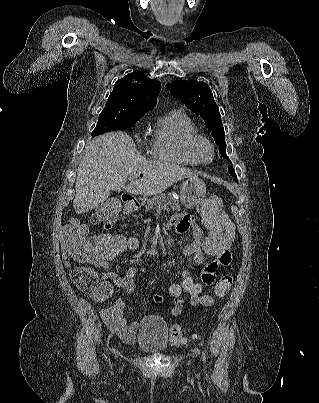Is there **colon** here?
Here are the masks:
<instances>
[{"label":"colon","mask_w":319,"mask_h":403,"mask_svg":"<svg viewBox=\"0 0 319 403\" xmlns=\"http://www.w3.org/2000/svg\"><path fill=\"white\" fill-rule=\"evenodd\" d=\"M222 206L223 200L219 196H211L200 205L202 220L207 226L205 249L202 250L198 266L191 275H181L180 282H169L167 286L169 291H176L175 297L179 300L176 306L179 309L187 308L186 300L203 296V267L215 264L216 258H220L221 251L231 247V243L236 241L234 222L232 218H225ZM104 208L106 210L93 217V222L104 229H97L96 234H88V239L81 224L76 221L63 228L62 245L75 261L125 258L126 254H137L138 240L135 234H122L120 229H110L115 223L117 210L123 208V203L106 201ZM71 279L80 291L91 296L95 285H100L97 275L90 269H74ZM232 282L231 276L221 277L215 285V295L224 297L229 292ZM154 299L157 302L162 301L160 295H156ZM185 340L181 326L174 324L170 330L171 343L180 346Z\"/></svg>","instance_id":"1"}]
</instances>
